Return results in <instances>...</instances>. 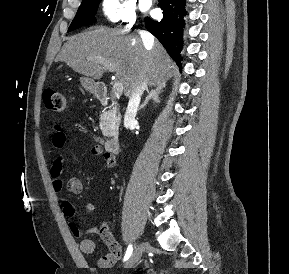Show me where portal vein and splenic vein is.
I'll return each instance as SVG.
<instances>
[{"label":"portal vein and splenic vein","instance_id":"portal-vein-and-splenic-vein-1","mask_svg":"<svg viewBox=\"0 0 289 274\" xmlns=\"http://www.w3.org/2000/svg\"><path fill=\"white\" fill-rule=\"evenodd\" d=\"M105 67L109 72L116 71V67L112 63L107 64ZM123 89H124V85L121 81L117 80L114 82L112 91L116 96L120 95L123 92Z\"/></svg>","mask_w":289,"mask_h":274}]
</instances>
